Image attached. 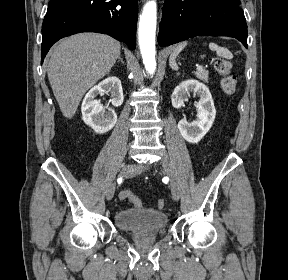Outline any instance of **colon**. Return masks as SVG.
Masks as SVG:
<instances>
[{
  "label": "colon",
  "instance_id": "obj_1",
  "mask_svg": "<svg viewBox=\"0 0 288 280\" xmlns=\"http://www.w3.org/2000/svg\"><path fill=\"white\" fill-rule=\"evenodd\" d=\"M214 67L218 75L221 77L220 85L222 91L227 95L233 94L236 90L237 80L235 74L232 71V64L228 60L218 59L215 62ZM120 198L122 200L130 201L135 207L142 206V202L139 197L130 191H122L120 193ZM157 206L159 209H163L165 206V200L159 199L157 201Z\"/></svg>",
  "mask_w": 288,
  "mask_h": 280
}]
</instances>
